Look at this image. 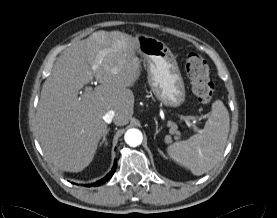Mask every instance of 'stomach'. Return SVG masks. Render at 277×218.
Instances as JSON below:
<instances>
[{
  "label": "stomach",
  "mask_w": 277,
  "mask_h": 218,
  "mask_svg": "<svg viewBox=\"0 0 277 218\" xmlns=\"http://www.w3.org/2000/svg\"><path fill=\"white\" fill-rule=\"evenodd\" d=\"M137 53L147 65V79L158 101L166 107L181 106L186 91L177 61L171 50L157 38L139 35Z\"/></svg>",
  "instance_id": "obj_1"
}]
</instances>
